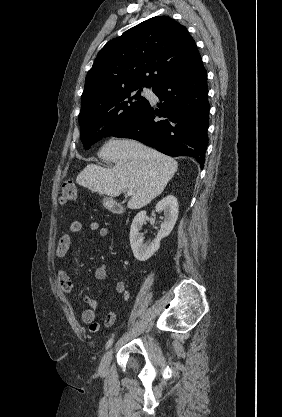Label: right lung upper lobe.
I'll use <instances>...</instances> for the list:
<instances>
[{"label": "right lung upper lobe", "instance_id": "cb5924a9", "mask_svg": "<svg viewBox=\"0 0 282 417\" xmlns=\"http://www.w3.org/2000/svg\"><path fill=\"white\" fill-rule=\"evenodd\" d=\"M200 62L195 41L185 26L167 16L153 17L100 50L87 73L82 100L135 87L154 90L177 72Z\"/></svg>", "mask_w": 282, "mask_h": 417}]
</instances>
